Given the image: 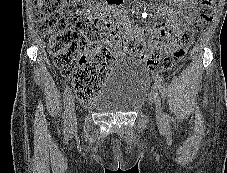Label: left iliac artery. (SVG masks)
I'll list each match as a JSON object with an SVG mask.
<instances>
[{"label":"left iliac artery","mask_w":227,"mask_h":173,"mask_svg":"<svg viewBox=\"0 0 227 173\" xmlns=\"http://www.w3.org/2000/svg\"><path fill=\"white\" fill-rule=\"evenodd\" d=\"M154 79V85L157 89H159V91L162 93V95L166 94V88L164 85V82L162 80V78L159 75H154L153 76ZM165 124L168 126L169 125V115L165 114Z\"/></svg>","instance_id":"44dca946"}]
</instances>
